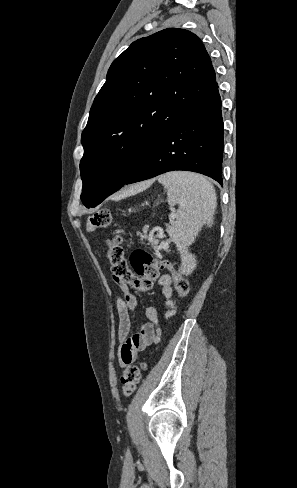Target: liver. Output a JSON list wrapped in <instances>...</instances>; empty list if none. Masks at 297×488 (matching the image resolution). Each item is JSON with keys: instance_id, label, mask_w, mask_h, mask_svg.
Wrapping results in <instances>:
<instances>
[{"instance_id": "1", "label": "liver", "mask_w": 297, "mask_h": 488, "mask_svg": "<svg viewBox=\"0 0 297 488\" xmlns=\"http://www.w3.org/2000/svg\"><path fill=\"white\" fill-rule=\"evenodd\" d=\"M151 182H148V183H142L138 186L135 187V189L139 190V189H145L147 188L149 185H150Z\"/></svg>"}]
</instances>
